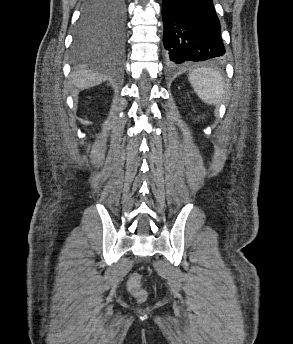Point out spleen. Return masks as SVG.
<instances>
[{
  "label": "spleen",
  "instance_id": "1",
  "mask_svg": "<svg viewBox=\"0 0 293 344\" xmlns=\"http://www.w3.org/2000/svg\"><path fill=\"white\" fill-rule=\"evenodd\" d=\"M189 81L205 103L215 105L221 102L225 93V83L221 73L210 68L195 69L189 74Z\"/></svg>",
  "mask_w": 293,
  "mask_h": 344
}]
</instances>
